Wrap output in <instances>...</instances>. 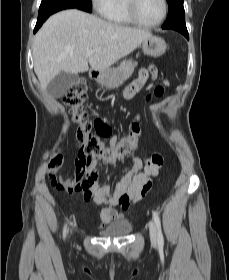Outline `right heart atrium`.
I'll use <instances>...</instances> for the list:
<instances>
[{
  "mask_svg": "<svg viewBox=\"0 0 229 280\" xmlns=\"http://www.w3.org/2000/svg\"><path fill=\"white\" fill-rule=\"evenodd\" d=\"M114 0H91L94 9L102 16L112 7Z\"/></svg>",
  "mask_w": 229,
  "mask_h": 280,
  "instance_id": "right-heart-atrium-1",
  "label": "right heart atrium"
}]
</instances>
